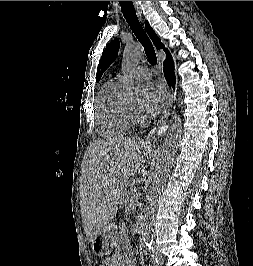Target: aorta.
Returning a JSON list of instances; mask_svg holds the SVG:
<instances>
[{"label":"aorta","mask_w":253,"mask_h":266,"mask_svg":"<svg viewBox=\"0 0 253 266\" xmlns=\"http://www.w3.org/2000/svg\"><path fill=\"white\" fill-rule=\"evenodd\" d=\"M143 56V49L139 44L127 45L123 53V70L126 73L123 81L124 94L135 98L140 95L141 87L128 76L129 69L139 62ZM182 135V121L179 115L174 114L169 122L168 131L163 146L157 157L153 179L146 195V203L140 216L142 240L149 245L153 242V218L160 199L161 192L166 185L174 157Z\"/></svg>","instance_id":"762f6f07"}]
</instances>
